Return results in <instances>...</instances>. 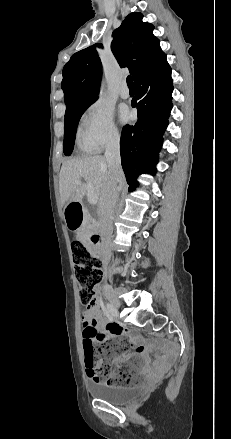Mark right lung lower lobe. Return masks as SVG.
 I'll return each mask as SVG.
<instances>
[{
  "instance_id": "right-lung-lower-lobe-1",
  "label": "right lung lower lobe",
  "mask_w": 231,
  "mask_h": 439,
  "mask_svg": "<svg viewBox=\"0 0 231 439\" xmlns=\"http://www.w3.org/2000/svg\"><path fill=\"white\" fill-rule=\"evenodd\" d=\"M134 83L136 96L131 105L138 110V120L134 126L123 128L120 140L122 168L129 191L138 186L136 178L140 174L156 171L162 135L173 106L171 67L166 56Z\"/></svg>"
}]
</instances>
